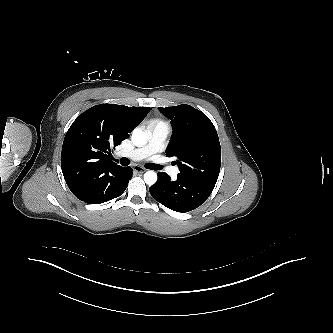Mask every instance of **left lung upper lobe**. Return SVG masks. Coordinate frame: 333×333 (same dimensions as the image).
Instances as JSON below:
<instances>
[{"instance_id":"left-lung-upper-lobe-1","label":"left lung upper lobe","mask_w":333,"mask_h":333,"mask_svg":"<svg viewBox=\"0 0 333 333\" xmlns=\"http://www.w3.org/2000/svg\"><path fill=\"white\" fill-rule=\"evenodd\" d=\"M159 110L171 120L173 134L165 153L167 157L176 158L178 176L216 184L221 148L211 120L187 104Z\"/></svg>"}]
</instances>
